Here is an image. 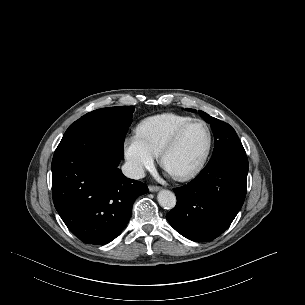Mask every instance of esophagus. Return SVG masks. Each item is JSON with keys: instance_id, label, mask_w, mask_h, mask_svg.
<instances>
[{"instance_id": "esophagus-1", "label": "esophagus", "mask_w": 305, "mask_h": 305, "mask_svg": "<svg viewBox=\"0 0 305 305\" xmlns=\"http://www.w3.org/2000/svg\"><path fill=\"white\" fill-rule=\"evenodd\" d=\"M160 189H161L160 186H153V185H150V186H149V191H150V192H157V191H159Z\"/></svg>"}]
</instances>
